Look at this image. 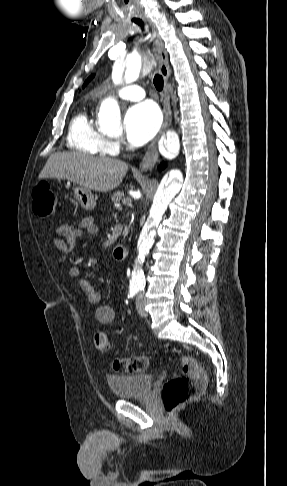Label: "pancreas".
<instances>
[{"label":"pancreas","mask_w":287,"mask_h":486,"mask_svg":"<svg viewBox=\"0 0 287 486\" xmlns=\"http://www.w3.org/2000/svg\"><path fill=\"white\" fill-rule=\"evenodd\" d=\"M112 202L114 203V206H117L121 199L123 198V200H130L129 198H124V194L120 191H117V192H114L111 196H110ZM131 202V200H130ZM128 227L125 228V230L123 231V235H127L128 233Z\"/></svg>","instance_id":"obj_1"}]
</instances>
